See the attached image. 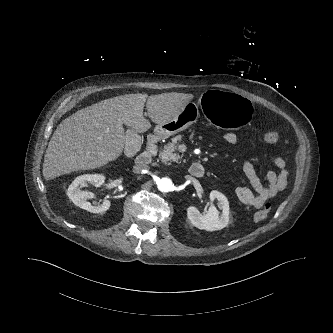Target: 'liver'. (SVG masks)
<instances>
[{"instance_id":"obj_1","label":"liver","mask_w":333,"mask_h":333,"mask_svg":"<svg viewBox=\"0 0 333 333\" xmlns=\"http://www.w3.org/2000/svg\"><path fill=\"white\" fill-rule=\"evenodd\" d=\"M193 99L192 94H125L81 109L56 128L44 156L43 176L50 180L74 171L99 168L117 159L126 145L123 124L136 132L176 116Z\"/></svg>"}]
</instances>
